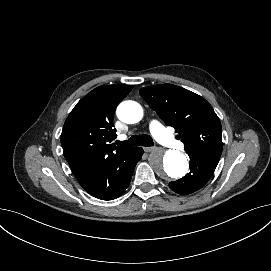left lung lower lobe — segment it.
I'll use <instances>...</instances> for the list:
<instances>
[{
    "mask_svg": "<svg viewBox=\"0 0 271 271\" xmlns=\"http://www.w3.org/2000/svg\"><path fill=\"white\" fill-rule=\"evenodd\" d=\"M187 154L190 157V172L183 178L169 183V187L181 195H188L201 189L213 175L220 159L208 151Z\"/></svg>",
    "mask_w": 271,
    "mask_h": 271,
    "instance_id": "0a47b994",
    "label": "left lung lower lobe"
}]
</instances>
